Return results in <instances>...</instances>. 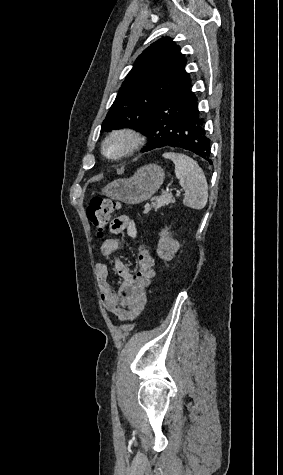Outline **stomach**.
<instances>
[{
	"label": "stomach",
	"instance_id": "obj_1",
	"mask_svg": "<svg viewBox=\"0 0 283 475\" xmlns=\"http://www.w3.org/2000/svg\"><path fill=\"white\" fill-rule=\"evenodd\" d=\"M165 180V172L157 164H148L138 168L128 180H114L102 190L103 196L111 200H120L124 204H141L149 200Z\"/></svg>",
	"mask_w": 283,
	"mask_h": 475
}]
</instances>
